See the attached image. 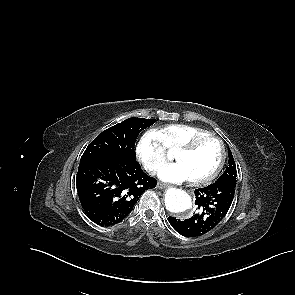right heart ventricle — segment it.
I'll list each match as a JSON object with an SVG mask.
<instances>
[{
	"label": "right heart ventricle",
	"mask_w": 295,
	"mask_h": 295,
	"mask_svg": "<svg viewBox=\"0 0 295 295\" xmlns=\"http://www.w3.org/2000/svg\"><path fill=\"white\" fill-rule=\"evenodd\" d=\"M155 132L165 149L169 151H177L193 138L209 133L203 128L186 124L166 125L156 129Z\"/></svg>",
	"instance_id": "1"
}]
</instances>
